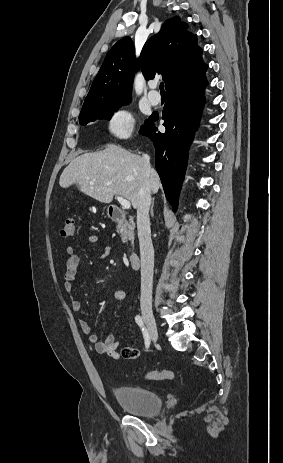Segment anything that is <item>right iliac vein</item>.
Returning <instances> with one entry per match:
<instances>
[{
	"label": "right iliac vein",
	"mask_w": 283,
	"mask_h": 463,
	"mask_svg": "<svg viewBox=\"0 0 283 463\" xmlns=\"http://www.w3.org/2000/svg\"><path fill=\"white\" fill-rule=\"evenodd\" d=\"M142 316H143V319L148 327V330H149V333H150V336L152 338L153 341H157L158 339V330H157V325H156V321H155V318L152 314L151 311L149 310H143L142 312Z\"/></svg>",
	"instance_id": "obj_1"
}]
</instances>
